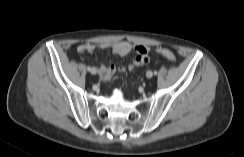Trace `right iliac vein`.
Instances as JSON below:
<instances>
[{"label":"right iliac vein","mask_w":244,"mask_h":157,"mask_svg":"<svg viewBox=\"0 0 244 157\" xmlns=\"http://www.w3.org/2000/svg\"><path fill=\"white\" fill-rule=\"evenodd\" d=\"M90 72H91L92 75H96L97 74V69L96 68H92Z\"/></svg>","instance_id":"1"}]
</instances>
